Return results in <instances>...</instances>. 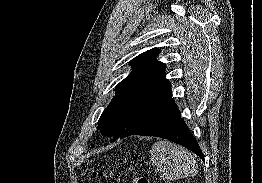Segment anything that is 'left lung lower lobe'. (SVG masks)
Segmentation results:
<instances>
[{
	"label": "left lung lower lobe",
	"instance_id": "1",
	"mask_svg": "<svg viewBox=\"0 0 262 183\" xmlns=\"http://www.w3.org/2000/svg\"><path fill=\"white\" fill-rule=\"evenodd\" d=\"M132 135L155 136L178 143L194 152L204 161L198 142L190 132L172 98L165 101L147 123Z\"/></svg>",
	"mask_w": 262,
	"mask_h": 183
}]
</instances>
